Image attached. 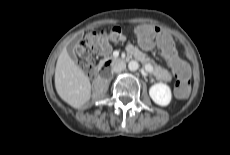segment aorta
Masks as SVG:
<instances>
[{
  "mask_svg": "<svg viewBox=\"0 0 230 155\" xmlns=\"http://www.w3.org/2000/svg\"><path fill=\"white\" fill-rule=\"evenodd\" d=\"M138 68H139V63L137 61L132 60L128 63V69L130 71H137Z\"/></svg>",
  "mask_w": 230,
  "mask_h": 155,
  "instance_id": "obj_1",
  "label": "aorta"
}]
</instances>
